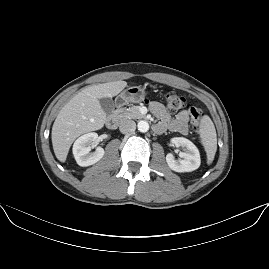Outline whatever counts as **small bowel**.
Here are the masks:
<instances>
[{
    "label": "small bowel",
    "mask_w": 269,
    "mask_h": 269,
    "mask_svg": "<svg viewBox=\"0 0 269 269\" xmlns=\"http://www.w3.org/2000/svg\"><path fill=\"white\" fill-rule=\"evenodd\" d=\"M151 111L160 119V122L154 127L156 133H163L166 129L182 135H186L188 133L189 114L186 110L178 112L172 120H170L165 107L159 102H153L151 104Z\"/></svg>",
    "instance_id": "small-bowel-1"
}]
</instances>
